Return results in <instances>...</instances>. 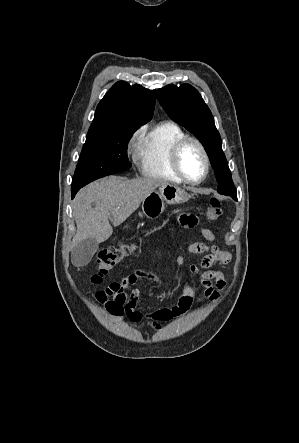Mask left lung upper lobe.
Here are the masks:
<instances>
[{
  "mask_svg": "<svg viewBox=\"0 0 299 443\" xmlns=\"http://www.w3.org/2000/svg\"><path fill=\"white\" fill-rule=\"evenodd\" d=\"M157 97L170 118L193 133L205 147L219 183L220 194L237 196L222 141L212 113L198 91L189 84L167 85L157 90Z\"/></svg>",
  "mask_w": 299,
  "mask_h": 443,
  "instance_id": "5c2ea615",
  "label": "left lung upper lobe"
}]
</instances>
